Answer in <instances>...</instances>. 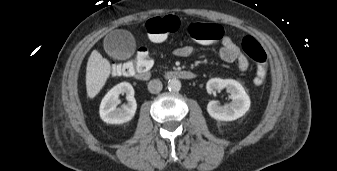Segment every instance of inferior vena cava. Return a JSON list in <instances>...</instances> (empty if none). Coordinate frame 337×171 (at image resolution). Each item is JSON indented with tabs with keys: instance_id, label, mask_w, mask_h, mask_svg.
Wrapping results in <instances>:
<instances>
[{
	"instance_id": "obj_1",
	"label": "inferior vena cava",
	"mask_w": 337,
	"mask_h": 171,
	"mask_svg": "<svg viewBox=\"0 0 337 171\" xmlns=\"http://www.w3.org/2000/svg\"><path fill=\"white\" fill-rule=\"evenodd\" d=\"M163 88L162 82L158 79H153L148 83V90L150 93H159Z\"/></svg>"
}]
</instances>
